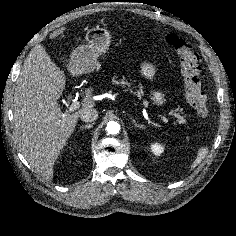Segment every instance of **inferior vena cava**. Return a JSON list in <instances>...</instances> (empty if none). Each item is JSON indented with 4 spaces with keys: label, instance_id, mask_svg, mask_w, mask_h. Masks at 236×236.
<instances>
[{
    "label": "inferior vena cava",
    "instance_id": "1",
    "mask_svg": "<svg viewBox=\"0 0 236 236\" xmlns=\"http://www.w3.org/2000/svg\"><path fill=\"white\" fill-rule=\"evenodd\" d=\"M99 112L95 108L84 109L80 113V118L84 122H93L98 118Z\"/></svg>",
    "mask_w": 236,
    "mask_h": 236
}]
</instances>
